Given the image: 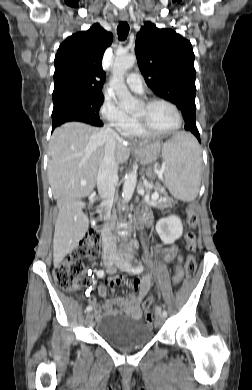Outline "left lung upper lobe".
<instances>
[{
	"instance_id": "1",
	"label": "left lung upper lobe",
	"mask_w": 252,
	"mask_h": 390,
	"mask_svg": "<svg viewBox=\"0 0 252 390\" xmlns=\"http://www.w3.org/2000/svg\"><path fill=\"white\" fill-rule=\"evenodd\" d=\"M135 53L147 85L174 103L184 118L195 114L196 71L190 41L174 30L146 22L137 33Z\"/></svg>"
}]
</instances>
